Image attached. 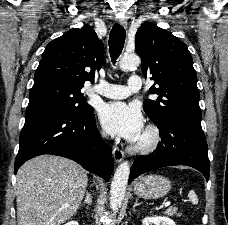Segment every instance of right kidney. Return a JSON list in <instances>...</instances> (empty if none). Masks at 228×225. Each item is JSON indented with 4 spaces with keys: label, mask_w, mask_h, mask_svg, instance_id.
Returning a JSON list of instances; mask_svg holds the SVG:
<instances>
[{
    "label": "right kidney",
    "mask_w": 228,
    "mask_h": 225,
    "mask_svg": "<svg viewBox=\"0 0 228 225\" xmlns=\"http://www.w3.org/2000/svg\"><path fill=\"white\" fill-rule=\"evenodd\" d=\"M66 225H79V223H77V221H69Z\"/></svg>",
    "instance_id": "1"
}]
</instances>
